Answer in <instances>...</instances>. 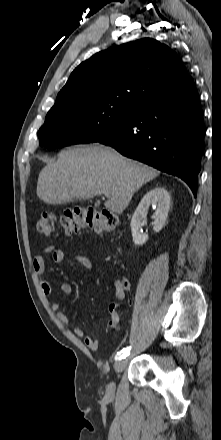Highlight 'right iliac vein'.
I'll return each instance as SVG.
<instances>
[{"label":"right iliac vein","instance_id":"right-iliac-vein-1","mask_svg":"<svg viewBox=\"0 0 221 440\" xmlns=\"http://www.w3.org/2000/svg\"><path fill=\"white\" fill-rule=\"evenodd\" d=\"M127 365V360H119L114 364V370L115 372L119 373L122 372ZM115 394V384L111 382L107 386V396L112 398Z\"/></svg>","mask_w":221,"mask_h":440}]
</instances>
